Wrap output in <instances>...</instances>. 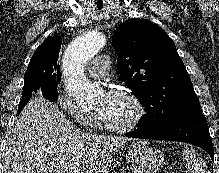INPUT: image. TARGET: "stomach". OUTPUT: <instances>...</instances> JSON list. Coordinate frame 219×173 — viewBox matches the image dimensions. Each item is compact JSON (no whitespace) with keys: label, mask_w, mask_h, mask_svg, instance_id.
Here are the masks:
<instances>
[{"label":"stomach","mask_w":219,"mask_h":173,"mask_svg":"<svg viewBox=\"0 0 219 173\" xmlns=\"http://www.w3.org/2000/svg\"><path fill=\"white\" fill-rule=\"evenodd\" d=\"M126 161L133 173H156L164 162V155L146 141L132 143L126 153Z\"/></svg>","instance_id":"0dacf381"}]
</instances>
